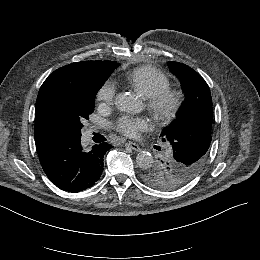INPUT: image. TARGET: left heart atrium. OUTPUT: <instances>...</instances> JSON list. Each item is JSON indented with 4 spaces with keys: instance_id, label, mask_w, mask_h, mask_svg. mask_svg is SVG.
<instances>
[{
    "instance_id": "39dd6f15",
    "label": "left heart atrium",
    "mask_w": 260,
    "mask_h": 260,
    "mask_svg": "<svg viewBox=\"0 0 260 260\" xmlns=\"http://www.w3.org/2000/svg\"><path fill=\"white\" fill-rule=\"evenodd\" d=\"M150 126L149 119L145 117H132L130 115H123L115 124L118 132L131 138H137L141 131L149 129Z\"/></svg>"
}]
</instances>
